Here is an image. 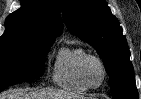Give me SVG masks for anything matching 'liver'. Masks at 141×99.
<instances>
[{
  "label": "liver",
  "instance_id": "obj_1",
  "mask_svg": "<svg viewBox=\"0 0 141 99\" xmlns=\"http://www.w3.org/2000/svg\"><path fill=\"white\" fill-rule=\"evenodd\" d=\"M81 96L73 95L62 90L44 88L27 93L26 90L18 89L0 94V99H79Z\"/></svg>",
  "mask_w": 141,
  "mask_h": 99
}]
</instances>
